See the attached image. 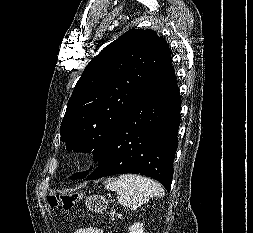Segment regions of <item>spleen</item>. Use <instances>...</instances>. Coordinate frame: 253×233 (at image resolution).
<instances>
[{
    "label": "spleen",
    "instance_id": "obj_1",
    "mask_svg": "<svg viewBox=\"0 0 253 233\" xmlns=\"http://www.w3.org/2000/svg\"><path fill=\"white\" fill-rule=\"evenodd\" d=\"M106 189L115 191L118 202L131 209H136L148 201L150 197H163L162 186L154 180L135 174H125L109 180Z\"/></svg>",
    "mask_w": 253,
    "mask_h": 233
}]
</instances>
